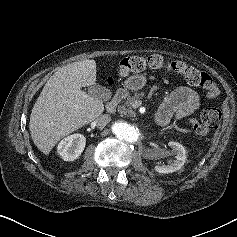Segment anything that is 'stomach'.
I'll return each mask as SVG.
<instances>
[{
  "instance_id": "stomach-1",
  "label": "stomach",
  "mask_w": 237,
  "mask_h": 237,
  "mask_svg": "<svg viewBox=\"0 0 237 237\" xmlns=\"http://www.w3.org/2000/svg\"><path fill=\"white\" fill-rule=\"evenodd\" d=\"M145 83L146 80L143 75H132L125 80L124 86L128 90L138 91L145 86Z\"/></svg>"
}]
</instances>
